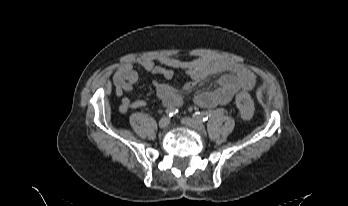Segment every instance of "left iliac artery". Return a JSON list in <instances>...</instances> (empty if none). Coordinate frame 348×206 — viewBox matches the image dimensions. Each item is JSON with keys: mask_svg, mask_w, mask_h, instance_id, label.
Masks as SVG:
<instances>
[{"mask_svg": "<svg viewBox=\"0 0 348 206\" xmlns=\"http://www.w3.org/2000/svg\"><path fill=\"white\" fill-rule=\"evenodd\" d=\"M221 115H225L224 109H219V112L217 111L195 112V114H193V118L199 121H207L209 118L213 116H215L216 118H219Z\"/></svg>", "mask_w": 348, "mask_h": 206, "instance_id": "1", "label": "left iliac artery"}]
</instances>
